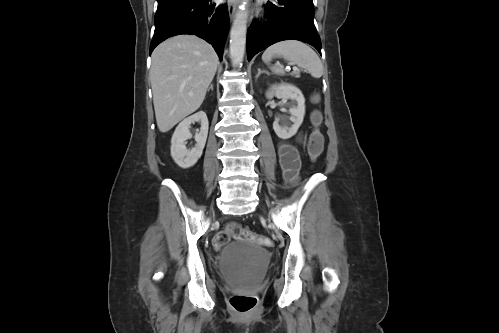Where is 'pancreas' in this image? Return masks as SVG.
Returning <instances> with one entry per match:
<instances>
[{
	"label": "pancreas",
	"instance_id": "pancreas-1",
	"mask_svg": "<svg viewBox=\"0 0 499 333\" xmlns=\"http://www.w3.org/2000/svg\"><path fill=\"white\" fill-rule=\"evenodd\" d=\"M292 76L296 77V78H299L300 77V72L298 70H294L292 73H291Z\"/></svg>",
	"mask_w": 499,
	"mask_h": 333
}]
</instances>
